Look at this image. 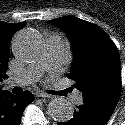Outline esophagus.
<instances>
[{"label": "esophagus", "mask_w": 125, "mask_h": 125, "mask_svg": "<svg viewBox=\"0 0 125 125\" xmlns=\"http://www.w3.org/2000/svg\"><path fill=\"white\" fill-rule=\"evenodd\" d=\"M36 96L39 98H52L53 96L45 92H37Z\"/></svg>", "instance_id": "obj_1"}]
</instances>
